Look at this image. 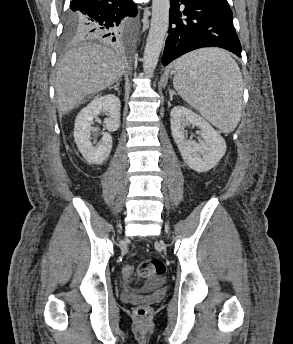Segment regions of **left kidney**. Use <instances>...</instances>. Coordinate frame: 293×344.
Here are the masks:
<instances>
[{
  "instance_id": "obj_1",
  "label": "left kidney",
  "mask_w": 293,
  "mask_h": 344,
  "mask_svg": "<svg viewBox=\"0 0 293 344\" xmlns=\"http://www.w3.org/2000/svg\"><path fill=\"white\" fill-rule=\"evenodd\" d=\"M171 132L185 163L197 172L214 168L226 152V143L204 118L183 106H176L170 114ZM195 125L201 129L202 140L197 144L185 138L184 128Z\"/></svg>"
}]
</instances>
